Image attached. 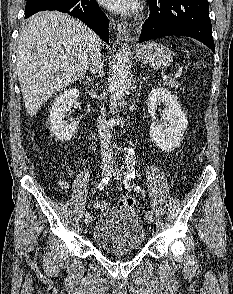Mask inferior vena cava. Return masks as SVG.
<instances>
[{
	"label": "inferior vena cava",
	"mask_w": 233,
	"mask_h": 294,
	"mask_svg": "<svg viewBox=\"0 0 233 294\" xmlns=\"http://www.w3.org/2000/svg\"><path fill=\"white\" fill-rule=\"evenodd\" d=\"M103 61L100 53L93 54L90 58V71L92 73H98L99 75L103 73ZM98 132L101 137V156H102V164L109 165L113 162V150L112 145L109 141V128L106 120L99 116L98 117Z\"/></svg>",
	"instance_id": "inferior-vena-cava-1"
}]
</instances>
